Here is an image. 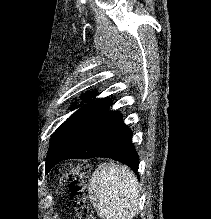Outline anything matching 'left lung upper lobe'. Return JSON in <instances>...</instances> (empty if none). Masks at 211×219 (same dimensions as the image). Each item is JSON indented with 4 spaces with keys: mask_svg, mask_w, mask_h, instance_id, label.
Listing matches in <instances>:
<instances>
[{
    "mask_svg": "<svg viewBox=\"0 0 211 219\" xmlns=\"http://www.w3.org/2000/svg\"><path fill=\"white\" fill-rule=\"evenodd\" d=\"M95 93L90 92L87 93L84 98L88 97H94ZM98 100H90L82 106L79 110H77L73 115H71L54 133V135L51 138L50 147L48 150L46 161L50 158V156L53 154V152L56 150L66 133L69 131V129L76 123V121L84 115L95 103H97Z\"/></svg>",
    "mask_w": 211,
    "mask_h": 219,
    "instance_id": "5c2ea615",
    "label": "left lung upper lobe"
}]
</instances>
